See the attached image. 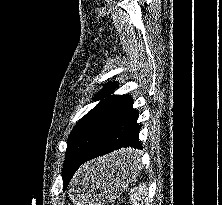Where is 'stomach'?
Here are the masks:
<instances>
[{
  "label": "stomach",
  "mask_w": 222,
  "mask_h": 205,
  "mask_svg": "<svg viewBox=\"0 0 222 205\" xmlns=\"http://www.w3.org/2000/svg\"><path fill=\"white\" fill-rule=\"evenodd\" d=\"M118 152L81 168L69 195L74 205H105L118 198L139 175V159L133 164H116Z\"/></svg>",
  "instance_id": "stomach-1"
}]
</instances>
